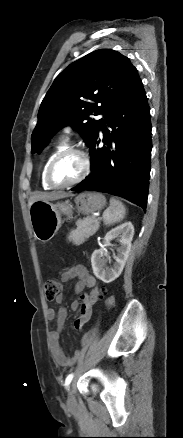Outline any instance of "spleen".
<instances>
[{
  "label": "spleen",
  "instance_id": "spleen-1",
  "mask_svg": "<svg viewBox=\"0 0 183 438\" xmlns=\"http://www.w3.org/2000/svg\"><path fill=\"white\" fill-rule=\"evenodd\" d=\"M126 208L119 200L112 198L110 206L103 212V220L105 224H114L124 219Z\"/></svg>",
  "mask_w": 183,
  "mask_h": 438
}]
</instances>
